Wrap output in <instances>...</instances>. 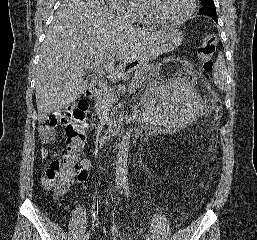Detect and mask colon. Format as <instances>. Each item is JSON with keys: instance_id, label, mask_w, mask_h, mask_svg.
Segmentation results:
<instances>
[{"instance_id": "5ec220e1", "label": "colon", "mask_w": 257, "mask_h": 240, "mask_svg": "<svg viewBox=\"0 0 257 240\" xmlns=\"http://www.w3.org/2000/svg\"><path fill=\"white\" fill-rule=\"evenodd\" d=\"M217 38L214 34L203 37L198 48L202 70L210 73L213 69V58L216 53ZM89 106L86 101H80L65 109L59 115L50 116L43 128L52 133L60 123L65 126L67 153L55 158L48 166L43 183L53 189L56 195L65 194L73 184L74 177L83 172L77 162V153L85 140L86 120Z\"/></svg>"}]
</instances>
